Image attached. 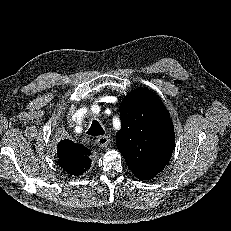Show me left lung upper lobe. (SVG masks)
I'll return each mask as SVG.
<instances>
[{
  "mask_svg": "<svg viewBox=\"0 0 231 231\" xmlns=\"http://www.w3.org/2000/svg\"><path fill=\"white\" fill-rule=\"evenodd\" d=\"M120 117L119 151L138 179L153 178L167 165L175 145L167 109L151 90L138 88L123 99Z\"/></svg>",
  "mask_w": 231,
  "mask_h": 231,
  "instance_id": "1",
  "label": "left lung upper lobe"
}]
</instances>
